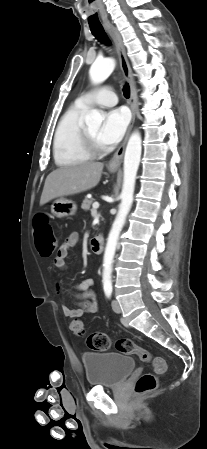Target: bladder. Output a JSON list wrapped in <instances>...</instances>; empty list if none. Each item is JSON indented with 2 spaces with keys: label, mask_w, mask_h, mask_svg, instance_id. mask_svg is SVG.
Listing matches in <instances>:
<instances>
[{
  "label": "bladder",
  "mask_w": 207,
  "mask_h": 449,
  "mask_svg": "<svg viewBox=\"0 0 207 449\" xmlns=\"http://www.w3.org/2000/svg\"><path fill=\"white\" fill-rule=\"evenodd\" d=\"M86 379L92 387H116L135 369V360L117 352H86L82 356Z\"/></svg>",
  "instance_id": "31cf9c89"
}]
</instances>
